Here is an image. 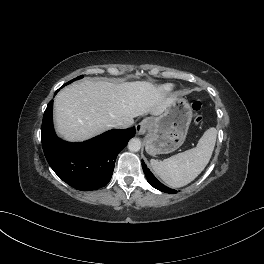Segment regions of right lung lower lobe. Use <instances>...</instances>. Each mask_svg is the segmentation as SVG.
I'll list each match as a JSON object with an SVG mask.
<instances>
[{
    "mask_svg": "<svg viewBox=\"0 0 264 264\" xmlns=\"http://www.w3.org/2000/svg\"><path fill=\"white\" fill-rule=\"evenodd\" d=\"M53 100L42 122V146L54 172L68 185L81 191L96 190L111 179L118 153L135 136V127L109 130L82 143L59 139L53 129Z\"/></svg>",
    "mask_w": 264,
    "mask_h": 264,
    "instance_id": "98d812e1",
    "label": "right lung lower lobe"
}]
</instances>
